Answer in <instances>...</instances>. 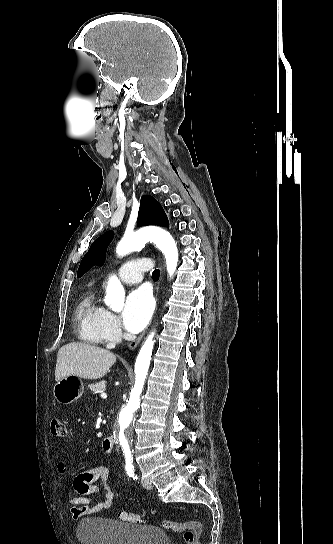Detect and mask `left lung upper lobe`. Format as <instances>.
<instances>
[{
  "label": "left lung upper lobe",
  "mask_w": 333,
  "mask_h": 544,
  "mask_svg": "<svg viewBox=\"0 0 333 544\" xmlns=\"http://www.w3.org/2000/svg\"><path fill=\"white\" fill-rule=\"evenodd\" d=\"M137 225H159L169 227L167 216L161 204L157 202L152 196H142ZM112 238L113 232L108 231L92 243L89 251L86 253L80 263L77 273L78 277H81L92 266L101 265L103 263L106 247L108 246Z\"/></svg>",
  "instance_id": "1"
}]
</instances>
